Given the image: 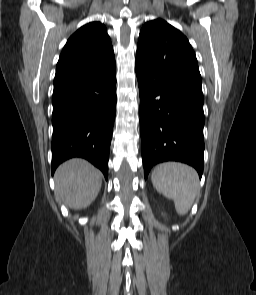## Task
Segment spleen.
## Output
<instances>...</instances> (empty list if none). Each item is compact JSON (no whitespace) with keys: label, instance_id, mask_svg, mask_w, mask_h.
Wrapping results in <instances>:
<instances>
[{"label":"spleen","instance_id":"3e777b00","mask_svg":"<svg viewBox=\"0 0 256 295\" xmlns=\"http://www.w3.org/2000/svg\"><path fill=\"white\" fill-rule=\"evenodd\" d=\"M151 180L157 192L172 199L179 215H185L191 208L199 190L197 172L190 166L167 162L156 166Z\"/></svg>","mask_w":256,"mask_h":295}]
</instances>
